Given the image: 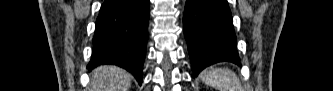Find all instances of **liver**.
Instances as JSON below:
<instances>
[{
	"instance_id": "1",
	"label": "liver",
	"mask_w": 333,
	"mask_h": 91,
	"mask_svg": "<svg viewBox=\"0 0 333 91\" xmlns=\"http://www.w3.org/2000/svg\"><path fill=\"white\" fill-rule=\"evenodd\" d=\"M90 91H128L131 76L116 66H100L91 73Z\"/></svg>"
}]
</instances>
